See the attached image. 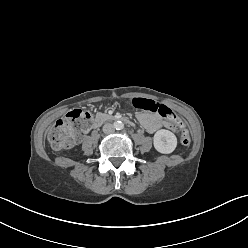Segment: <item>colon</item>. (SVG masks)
I'll return each instance as SVG.
<instances>
[{"label": "colon", "mask_w": 248, "mask_h": 248, "mask_svg": "<svg viewBox=\"0 0 248 248\" xmlns=\"http://www.w3.org/2000/svg\"><path fill=\"white\" fill-rule=\"evenodd\" d=\"M132 104L135 108L151 113H158L165 119L177 124L180 129V138L183 145L191 141L190 134L183 122L173 111L164 104L145 98H133ZM91 115L84 109H75L62 118L50 128L48 140L55 149H63L80 140L89 125Z\"/></svg>", "instance_id": "obj_1"}]
</instances>
